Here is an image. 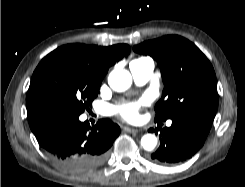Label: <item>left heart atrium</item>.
<instances>
[{"mask_svg":"<svg viewBox=\"0 0 245 187\" xmlns=\"http://www.w3.org/2000/svg\"><path fill=\"white\" fill-rule=\"evenodd\" d=\"M148 104V99L142 98L135 102H123L112 108L113 113L127 121H135L138 118L140 109Z\"/></svg>","mask_w":245,"mask_h":187,"instance_id":"1","label":"left heart atrium"}]
</instances>
